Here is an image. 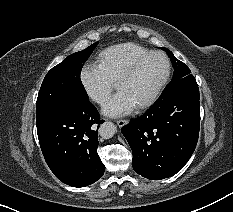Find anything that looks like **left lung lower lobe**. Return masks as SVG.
<instances>
[{
    "label": "left lung lower lobe",
    "mask_w": 233,
    "mask_h": 212,
    "mask_svg": "<svg viewBox=\"0 0 233 212\" xmlns=\"http://www.w3.org/2000/svg\"><path fill=\"white\" fill-rule=\"evenodd\" d=\"M199 127L198 87L185 86L160 96L141 117L122 127L134 171L151 180L176 174L195 150Z\"/></svg>",
    "instance_id": "left-lung-lower-lobe-1"
}]
</instances>
